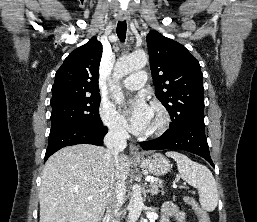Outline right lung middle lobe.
<instances>
[{"instance_id": "1", "label": "right lung middle lobe", "mask_w": 257, "mask_h": 222, "mask_svg": "<svg viewBox=\"0 0 257 222\" xmlns=\"http://www.w3.org/2000/svg\"><path fill=\"white\" fill-rule=\"evenodd\" d=\"M51 132L67 127H102L99 116L100 95L51 100Z\"/></svg>"}]
</instances>
